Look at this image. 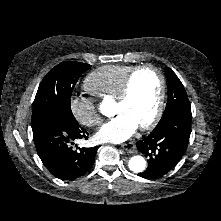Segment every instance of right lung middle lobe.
<instances>
[{"label": "right lung middle lobe", "instance_id": "dd1d6c3e", "mask_svg": "<svg viewBox=\"0 0 221 221\" xmlns=\"http://www.w3.org/2000/svg\"><path fill=\"white\" fill-rule=\"evenodd\" d=\"M91 65L62 62L41 81L33 104L32 128L57 119L77 123L71 111V95L79 77Z\"/></svg>", "mask_w": 221, "mask_h": 221}]
</instances>
